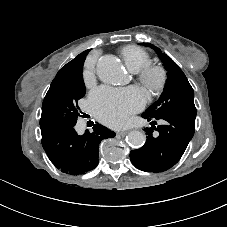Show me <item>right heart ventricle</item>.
Returning <instances> with one entry per match:
<instances>
[{"label":"right heart ventricle","mask_w":227,"mask_h":227,"mask_svg":"<svg viewBox=\"0 0 227 227\" xmlns=\"http://www.w3.org/2000/svg\"><path fill=\"white\" fill-rule=\"evenodd\" d=\"M120 55L127 68L132 72H137L151 62L150 54L145 49L136 45L122 47L120 49Z\"/></svg>","instance_id":"1"}]
</instances>
